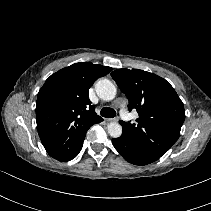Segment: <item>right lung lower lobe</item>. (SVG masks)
Instances as JSON below:
<instances>
[{
	"label": "right lung lower lobe",
	"instance_id": "right-lung-lower-lobe-1",
	"mask_svg": "<svg viewBox=\"0 0 211 211\" xmlns=\"http://www.w3.org/2000/svg\"><path fill=\"white\" fill-rule=\"evenodd\" d=\"M85 135L86 133L82 134L78 140V143H77V146L76 148L71 152L70 155H68L66 158H64L63 160H60V161H69V160H72L73 158H75L78 153L80 152V150L82 149V146H83V141H84V138H85Z\"/></svg>",
	"mask_w": 211,
	"mask_h": 211
}]
</instances>
